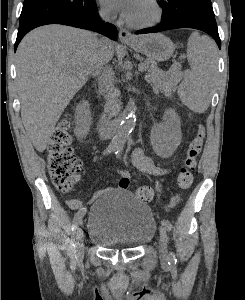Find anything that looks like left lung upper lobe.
Masks as SVG:
<instances>
[{"instance_id":"5c2ea615","label":"left lung upper lobe","mask_w":245,"mask_h":300,"mask_svg":"<svg viewBox=\"0 0 245 300\" xmlns=\"http://www.w3.org/2000/svg\"><path fill=\"white\" fill-rule=\"evenodd\" d=\"M163 10L162 20L167 19L180 9L201 11L214 16L210 0H159Z\"/></svg>"}]
</instances>
